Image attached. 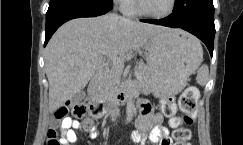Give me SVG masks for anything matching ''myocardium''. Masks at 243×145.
I'll list each match as a JSON object with an SVG mask.
<instances>
[{
	"mask_svg": "<svg viewBox=\"0 0 243 145\" xmlns=\"http://www.w3.org/2000/svg\"><path fill=\"white\" fill-rule=\"evenodd\" d=\"M176 5H177V0H171L170 7L166 12L161 13V14H155V13H151V12L145 10L141 5L140 0H134V6L136 9V12L143 16L153 18V19H164V18L169 17L174 12Z\"/></svg>",
	"mask_w": 243,
	"mask_h": 145,
	"instance_id": "myocardium-1",
	"label": "myocardium"
}]
</instances>
